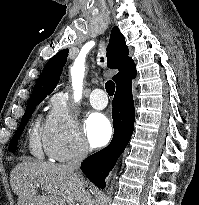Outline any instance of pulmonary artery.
I'll use <instances>...</instances> for the list:
<instances>
[{"instance_id": "pulmonary-artery-1", "label": "pulmonary artery", "mask_w": 199, "mask_h": 205, "mask_svg": "<svg viewBox=\"0 0 199 205\" xmlns=\"http://www.w3.org/2000/svg\"><path fill=\"white\" fill-rule=\"evenodd\" d=\"M108 100L104 91L100 88L94 89L90 95V104L95 109H103L106 107Z\"/></svg>"}]
</instances>
